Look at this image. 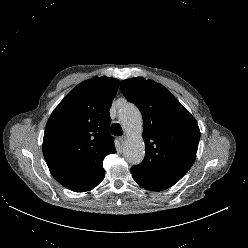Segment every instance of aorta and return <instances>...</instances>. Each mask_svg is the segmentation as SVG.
Wrapping results in <instances>:
<instances>
[{"instance_id": "aorta-1", "label": "aorta", "mask_w": 248, "mask_h": 248, "mask_svg": "<svg viewBox=\"0 0 248 248\" xmlns=\"http://www.w3.org/2000/svg\"><path fill=\"white\" fill-rule=\"evenodd\" d=\"M119 121L128 136L123 147L124 157L131 164H139L145 155L141 113L134 105L126 104L119 111Z\"/></svg>"}]
</instances>
